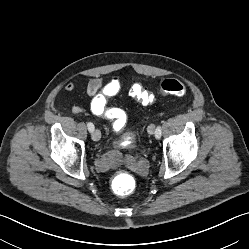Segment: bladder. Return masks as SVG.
<instances>
[{
    "instance_id": "obj_1",
    "label": "bladder",
    "mask_w": 249,
    "mask_h": 249,
    "mask_svg": "<svg viewBox=\"0 0 249 249\" xmlns=\"http://www.w3.org/2000/svg\"><path fill=\"white\" fill-rule=\"evenodd\" d=\"M112 145L114 149L117 150L120 157L125 154L132 153L137 148L135 140L130 136H127L124 139L114 140L112 142ZM112 166H113V156H110L105 161L99 160L96 162V167L100 171H107Z\"/></svg>"
}]
</instances>
